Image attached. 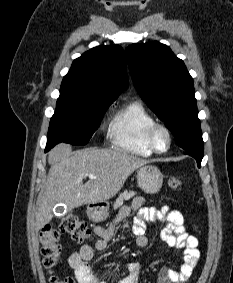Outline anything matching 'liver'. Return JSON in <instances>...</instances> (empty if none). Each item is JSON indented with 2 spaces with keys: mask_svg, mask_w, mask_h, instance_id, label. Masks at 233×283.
<instances>
[{
  "mask_svg": "<svg viewBox=\"0 0 233 283\" xmlns=\"http://www.w3.org/2000/svg\"><path fill=\"white\" fill-rule=\"evenodd\" d=\"M149 162L122 150L90 148L72 152L70 145L58 144L48 153L50 169L45 190L37 199L36 228L40 230L52 220L57 203L73 209L114 197L127 178ZM86 174L96 178L83 184Z\"/></svg>",
  "mask_w": 233,
  "mask_h": 283,
  "instance_id": "1",
  "label": "liver"
}]
</instances>
